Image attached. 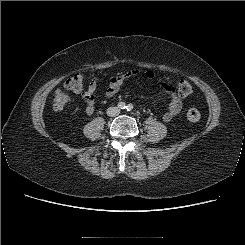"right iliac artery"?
I'll return each mask as SVG.
<instances>
[{
	"label": "right iliac artery",
	"mask_w": 245,
	"mask_h": 245,
	"mask_svg": "<svg viewBox=\"0 0 245 245\" xmlns=\"http://www.w3.org/2000/svg\"><path fill=\"white\" fill-rule=\"evenodd\" d=\"M118 108L121 109V110H123V109L126 108V104L124 102H119L118 103Z\"/></svg>",
	"instance_id": "obj_1"
}]
</instances>
